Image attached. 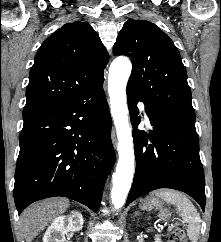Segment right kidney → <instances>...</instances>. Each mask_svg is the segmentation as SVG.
Returning <instances> with one entry per match:
<instances>
[{
    "label": "right kidney",
    "instance_id": "ca27d5eb",
    "mask_svg": "<svg viewBox=\"0 0 221 242\" xmlns=\"http://www.w3.org/2000/svg\"><path fill=\"white\" fill-rule=\"evenodd\" d=\"M83 216L77 211H72L67 216L56 217L47 228L43 242H65L68 232H77L83 228Z\"/></svg>",
    "mask_w": 221,
    "mask_h": 242
}]
</instances>
